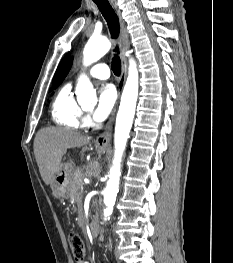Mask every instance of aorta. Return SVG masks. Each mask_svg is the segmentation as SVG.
I'll return each instance as SVG.
<instances>
[{
  "label": "aorta",
  "instance_id": "aorta-1",
  "mask_svg": "<svg viewBox=\"0 0 233 263\" xmlns=\"http://www.w3.org/2000/svg\"><path fill=\"white\" fill-rule=\"evenodd\" d=\"M111 47L110 41L106 37L92 36L83 51L84 65H90L104 56ZM138 71L136 63L130 60L128 78L121 96L119 111L116 118L114 134V159L110 170V178L103 192L104 195V216L109 219L113 212V207L119 191V181L121 175V160L126 147L127 139L132 127L135 115L136 102L138 97ZM77 100L80 104L92 102L96 99V91L87 76H80L76 86Z\"/></svg>",
  "mask_w": 233,
  "mask_h": 263
}]
</instances>
